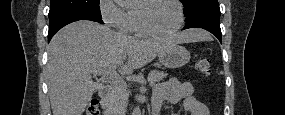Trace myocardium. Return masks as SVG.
<instances>
[{"instance_id": "myocardium-1", "label": "myocardium", "mask_w": 285, "mask_h": 115, "mask_svg": "<svg viewBox=\"0 0 285 115\" xmlns=\"http://www.w3.org/2000/svg\"><path fill=\"white\" fill-rule=\"evenodd\" d=\"M156 1H161V0H144L142 2V4L139 6V8L137 10V14H138V20H139L141 28L149 36L168 37V36H172V35L176 34L182 28L183 23H184V19H185L184 9H183L182 3L179 0H166V1H170L171 3H173L176 6V8H177V11H178V24H177L176 28H174L171 31L160 32V31H156V30L152 29L147 24L144 16L140 12V8H143V7L147 6L148 4L156 2Z\"/></svg>"}]
</instances>
